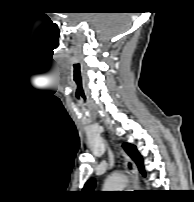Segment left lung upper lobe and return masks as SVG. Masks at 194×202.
<instances>
[{"label":"left lung upper lobe","instance_id":"obj_1","mask_svg":"<svg viewBox=\"0 0 194 202\" xmlns=\"http://www.w3.org/2000/svg\"><path fill=\"white\" fill-rule=\"evenodd\" d=\"M123 148L126 151V153L133 159V161L137 164L140 172L145 175L144 167H143V159L139 152L137 151L136 146L129 144V143H124ZM95 187V182L93 179L89 180L86 182L83 190L86 192H92Z\"/></svg>","mask_w":194,"mask_h":202}]
</instances>
